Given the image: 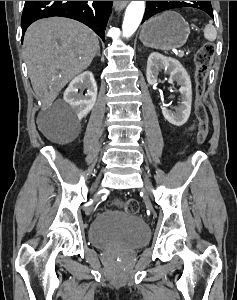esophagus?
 <instances>
[{
    "mask_svg": "<svg viewBox=\"0 0 237 300\" xmlns=\"http://www.w3.org/2000/svg\"><path fill=\"white\" fill-rule=\"evenodd\" d=\"M128 4V1H113V7L116 11H120L121 9L125 8Z\"/></svg>",
    "mask_w": 237,
    "mask_h": 300,
    "instance_id": "obj_1",
    "label": "esophagus"
}]
</instances>
